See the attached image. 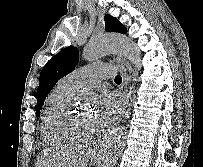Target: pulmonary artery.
<instances>
[{
    "instance_id": "e3ab8cb5",
    "label": "pulmonary artery",
    "mask_w": 203,
    "mask_h": 167,
    "mask_svg": "<svg viewBox=\"0 0 203 167\" xmlns=\"http://www.w3.org/2000/svg\"><path fill=\"white\" fill-rule=\"evenodd\" d=\"M116 68L110 64H92L78 68L62 78V82L74 89H91L104 78L114 75Z\"/></svg>"
}]
</instances>
